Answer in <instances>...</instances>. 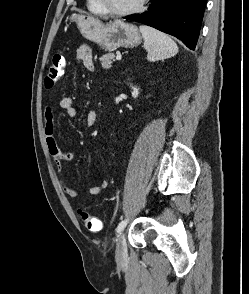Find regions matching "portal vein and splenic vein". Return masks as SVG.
<instances>
[{"label": "portal vein and splenic vein", "mask_w": 249, "mask_h": 294, "mask_svg": "<svg viewBox=\"0 0 249 294\" xmlns=\"http://www.w3.org/2000/svg\"><path fill=\"white\" fill-rule=\"evenodd\" d=\"M116 60H121V55H120V54H118V55L116 56Z\"/></svg>", "instance_id": "1"}]
</instances>
